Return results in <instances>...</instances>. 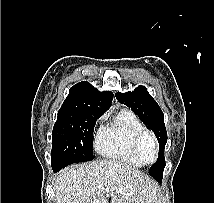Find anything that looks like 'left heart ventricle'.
<instances>
[{
    "mask_svg": "<svg viewBox=\"0 0 214 203\" xmlns=\"http://www.w3.org/2000/svg\"><path fill=\"white\" fill-rule=\"evenodd\" d=\"M142 157L145 161L151 162L155 157L153 144L149 138H146L142 143Z\"/></svg>",
    "mask_w": 214,
    "mask_h": 203,
    "instance_id": "b2bd125f",
    "label": "left heart ventricle"
}]
</instances>
